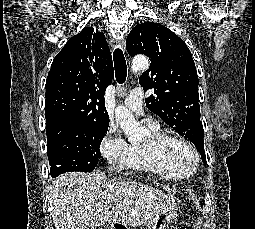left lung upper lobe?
<instances>
[{
  "label": "left lung upper lobe",
  "mask_w": 255,
  "mask_h": 229,
  "mask_svg": "<svg viewBox=\"0 0 255 229\" xmlns=\"http://www.w3.org/2000/svg\"><path fill=\"white\" fill-rule=\"evenodd\" d=\"M126 48L129 55L144 54L151 61L139 78L144 91L154 90V95L145 99L147 108L189 139L206 164L198 76L185 42L160 23L147 21L131 30Z\"/></svg>",
  "instance_id": "1"
}]
</instances>
